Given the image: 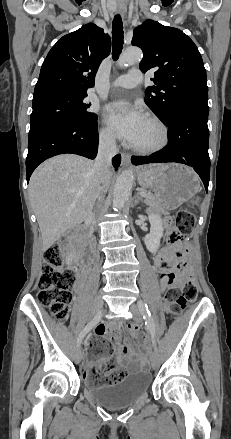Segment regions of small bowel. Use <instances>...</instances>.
I'll use <instances>...</instances> for the list:
<instances>
[{
	"label": "small bowel",
	"mask_w": 231,
	"mask_h": 439,
	"mask_svg": "<svg viewBox=\"0 0 231 439\" xmlns=\"http://www.w3.org/2000/svg\"><path fill=\"white\" fill-rule=\"evenodd\" d=\"M175 255V248L174 247H168L163 250L161 255H157L154 258V268L156 271H160L162 269L163 262L166 260H171ZM87 269L84 267L81 270V276H83L86 273ZM97 334L100 336L107 337L111 340H114L116 345V354L115 358L116 361L121 364L125 365L130 371H136L140 363L135 359V352L133 349L126 347L120 343V335L119 331L114 326H98L97 327ZM137 343L139 345L144 344V340L141 338H137ZM111 360L109 358H101L97 363L91 364L87 363V366L89 369H102L105 365H107L108 362Z\"/></svg>",
	"instance_id": "c3829d8e"
}]
</instances>
